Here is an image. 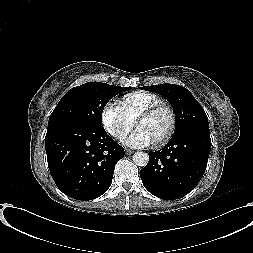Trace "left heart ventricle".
Segmentation results:
<instances>
[{
  "label": "left heart ventricle",
  "mask_w": 253,
  "mask_h": 253,
  "mask_svg": "<svg viewBox=\"0 0 253 253\" xmlns=\"http://www.w3.org/2000/svg\"><path fill=\"white\" fill-rule=\"evenodd\" d=\"M169 123V113L162 110L151 117L139 119L137 127L147 131L156 143L166 133Z\"/></svg>",
  "instance_id": "b2bd125f"
}]
</instances>
